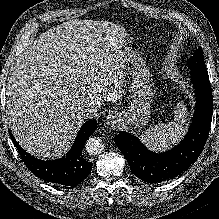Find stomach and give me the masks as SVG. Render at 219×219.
<instances>
[{"mask_svg": "<svg viewBox=\"0 0 219 219\" xmlns=\"http://www.w3.org/2000/svg\"><path fill=\"white\" fill-rule=\"evenodd\" d=\"M121 58L129 71L131 101L123 111L116 113L117 122L122 127L142 129L148 124L151 113L154 94L152 74L146 66L142 53L132 47L123 46Z\"/></svg>", "mask_w": 219, "mask_h": 219, "instance_id": "stomach-1", "label": "stomach"}]
</instances>
